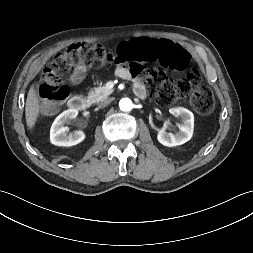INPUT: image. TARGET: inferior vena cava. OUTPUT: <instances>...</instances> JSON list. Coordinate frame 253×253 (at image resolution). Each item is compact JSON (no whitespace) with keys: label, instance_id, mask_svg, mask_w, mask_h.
Listing matches in <instances>:
<instances>
[{"label":"inferior vena cava","instance_id":"1","mask_svg":"<svg viewBox=\"0 0 253 253\" xmlns=\"http://www.w3.org/2000/svg\"><path fill=\"white\" fill-rule=\"evenodd\" d=\"M111 102V99H103L98 103L99 108L106 107Z\"/></svg>","mask_w":253,"mask_h":253}]
</instances>
